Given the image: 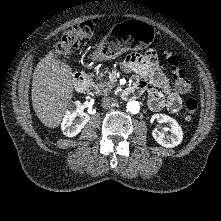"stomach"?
Returning <instances> with one entry per match:
<instances>
[{"label": "stomach", "mask_w": 221, "mask_h": 221, "mask_svg": "<svg viewBox=\"0 0 221 221\" xmlns=\"http://www.w3.org/2000/svg\"><path fill=\"white\" fill-rule=\"evenodd\" d=\"M154 28L143 21H123L111 27L92 54L95 61L112 60L132 50H144L155 40Z\"/></svg>", "instance_id": "0dacf381"}]
</instances>
